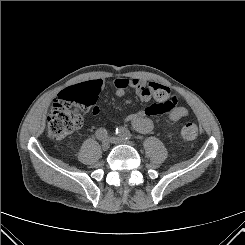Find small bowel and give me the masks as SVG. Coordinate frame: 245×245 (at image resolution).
<instances>
[{
  "label": "small bowel",
  "mask_w": 245,
  "mask_h": 245,
  "mask_svg": "<svg viewBox=\"0 0 245 245\" xmlns=\"http://www.w3.org/2000/svg\"><path fill=\"white\" fill-rule=\"evenodd\" d=\"M102 87L101 80H93ZM115 95L122 97L127 89L132 88L142 101L154 100L155 103L146 109L129 114L124 118L132 127L140 133H149L154 128L152 117L155 115L166 114L171 122H177L188 116L189 111L186 107L177 105V99L172 95L170 89L162 84L149 82L138 78H117L114 83ZM92 113L98 115L100 107L95 105Z\"/></svg>",
  "instance_id": "1"
}]
</instances>
